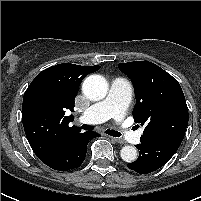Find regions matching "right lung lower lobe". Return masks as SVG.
I'll return each instance as SVG.
<instances>
[{
	"mask_svg": "<svg viewBox=\"0 0 201 201\" xmlns=\"http://www.w3.org/2000/svg\"><path fill=\"white\" fill-rule=\"evenodd\" d=\"M98 136L92 131L78 132L62 145L57 152L40 158V160L50 168L59 171L78 168L86 157V147L89 140Z\"/></svg>",
	"mask_w": 201,
	"mask_h": 201,
	"instance_id": "right-lung-lower-lobe-1",
	"label": "right lung lower lobe"
}]
</instances>
